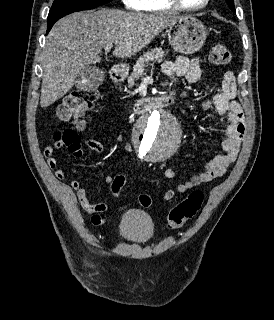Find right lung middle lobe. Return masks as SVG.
Here are the masks:
<instances>
[{
	"label": "right lung middle lobe",
	"instance_id": "1",
	"mask_svg": "<svg viewBox=\"0 0 274 320\" xmlns=\"http://www.w3.org/2000/svg\"><path fill=\"white\" fill-rule=\"evenodd\" d=\"M112 0H54L47 22L56 21L73 12L94 9Z\"/></svg>",
	"mask_w": 274,
	"mask_h": 320
}]
</instances>
